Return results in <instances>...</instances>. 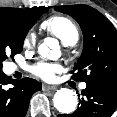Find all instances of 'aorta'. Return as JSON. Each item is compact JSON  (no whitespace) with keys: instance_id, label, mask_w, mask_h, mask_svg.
<instances>
[{"instance_id":"obj_1","label":"aorta","mask_w":117,"mask_h":117,"mask_svg":"<svg viewBox=\"0 0 117 117\" xmlns=\"http://www.w3.org/2000/svg\"><path fill=\"white\" fill-rule=\"evenodd\" d=\"M38 52L42 57H47L51 60H57L61 56L58 42L53 38H46L44 43L39 46ZM53 103L54 107L60 113L70 114L75 111L78 100L76 94L72 90L61 88L55 93Z\"/></svg>"}]
</instances>
